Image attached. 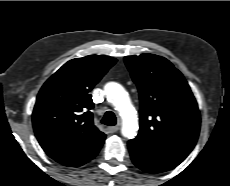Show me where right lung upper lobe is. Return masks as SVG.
I'll use <instances>...</instances> for the list:
<instances>
[{"instance_id": "right-lung-upper-lobe-1", "label": "right lung upper lobe", "mask_w": 230, "mask_h": 186, "mask_svg": "<svg viewBox=\"0 0 230 186\" xmlns=\"http://www.w3.org/2000/svg\"><path fill=\"white\" fill-rule=\"evenodd\" d=\"M116 61L102 55L70 60L42 86L33 128L43 150L60 164L81 166L99 152L106 135L93 123L90 91Z\"/></svg>"}]
</instances>
